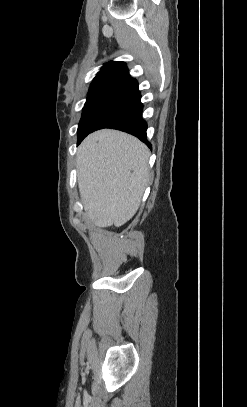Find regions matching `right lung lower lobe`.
Returning <instances> with one entry per match:
<instances>
[{"label":"right lung lower lobe","mask_w":247,"mask_h":407,"mask_svg":"<svg viewBox=\"0 0 247 407\" xmlns=\"http://www.w3.org/2000/svg\"><path fill=\"white\" fill-rule=\"evenodd\" d=\"M142 110L143 104L141 103V95L138 93L132 100L126 102L104 117L89 133L102 128L118 129L136 136L151 148V144L147 140V123L142 118Z\"/></svg>","instance_id":"right-lung-lower-lobe-1"}]
</instances>
